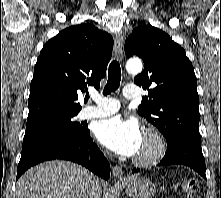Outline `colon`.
I'll return each mask as SVG.
<instances>
[{
	"label": "colon",
	"mask_w": 221,
	"mask_h": 198,
	"mask_svg": "<svg viewBox=\"0 0 221 198\" xmlns=\"http://www.w3.org/2000/svg\"><path fill=\"white\" fill-rule=\"evenodd\" d=\"M197 181L194 178L185 180L182 184V190L186 198H198L196 193Z\"/></svg>",
	"instance_id": "5ec220e1"
}]
</instances>
